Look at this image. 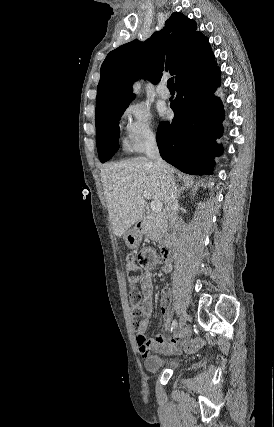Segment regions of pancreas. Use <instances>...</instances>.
<instances>
[{"label": "pancreas", "instance_id": "1", "mask_svg": "<svg viewBox=\"0 0 274 427\" xmlns=\"http://www.w3.org/2000/svg\"><path fill=\"white\" fill-rule=\"evenodd\" d=\"M167 215L164 212L160 214H148L144 217L142 221L143 233H146L149 239H155V241H162V239H168V229H167Z\"/></svg>", "mask_w": 274, "mask_h": 427}]
</instances>
